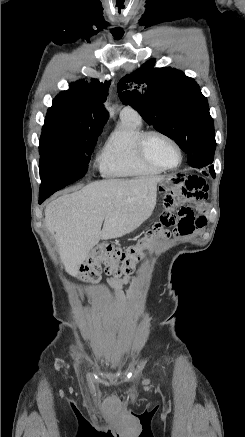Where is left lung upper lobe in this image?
Segmentation results:
<instances>
[{"label":"left lung upper lobe","instance_id":"left-lung-upper-lobe-1","mask_svg":"<svg viewBox=\"0 0 245 437\" xmlns=\"http://www.w3.org/2000/svg\"><path fill=\"white\" fill-rule=\"evenodd\" d=\"M155 60L126 75L118 85L130 105L160 133L173 139L195 168L211 164L216 148L213 119L206 97L194 79L174 68H154ZM210 172L213 174L214 169Z\"/></svg>","mask_w":245,"mask_h":437}]
</instances>
